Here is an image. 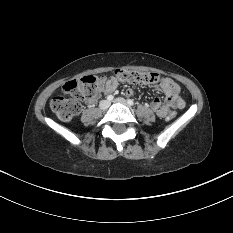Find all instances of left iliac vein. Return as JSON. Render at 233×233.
<instances>
[{
    "label": "left iliac vein",
    "instance_id": "obj_1",
    "mask_svg": "<svg viewBox=\"0 0 233 233\" xmlns=\"http://www.w3.org/2000/svg\"><path fill=\"white\" fill-rule=\"evenodd\" d=\"M114 102H115V103H120V104H123V105L128 106L127 101H126L124 98H121V97L116 98V99L114 100Z\"/></svg>",
    "mask_w": 233,
    "mask_h": 233
}]
</instances>
